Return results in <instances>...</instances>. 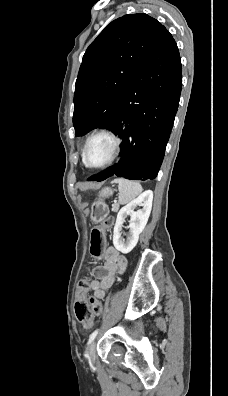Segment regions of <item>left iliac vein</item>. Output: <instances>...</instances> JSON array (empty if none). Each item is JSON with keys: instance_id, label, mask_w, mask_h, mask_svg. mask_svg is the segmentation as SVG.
<instances>
[{"instance_id": "1", "label": "left iliac vein", "mask_w": 228, "mask_h": 396, "mask_svg": "<svg viewBox=\"0 0 228 396\" xmlns=\"http://www.w3.org/2000/svg\"><path fill=\"white\" fill-rule=\"evenodd\" d=\"M96 359V342L93 341L89 347L88 360L91 364L95 363Z\"/></svg>"}]
</instances>
